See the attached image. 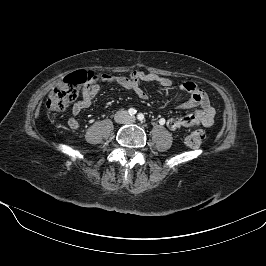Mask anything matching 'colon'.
I'll list each match as a JSON object with an SVG mask.
<instances>
[{
    "instance_id": "obj_1",
    "label": "colon",
    "mask_w": 266,
    "mask_h": 266,
    "mask_svg": "<svg viewBox=\"0 0 266 266\" xmlns=\"http://www.w3.org/2000/svg\"><path fill=\"white\" fill-rule=\"evenodd\" d=\"M96 75L91 71H76L66 76L63 81L49 94L46 107L51 113L64 110L82 94L83 89L95 79ZM205 138L203 130L192 131L185 140L189 148L196 149L201 146Z\"/></svg>"
}]
</instances>
